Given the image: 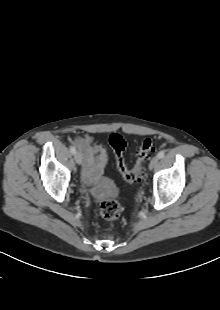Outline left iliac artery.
Returning <instances> with one entry per match:
<instances>
[{
  "label": "left iliac artery",
  "instance_id": "left-iliac-artery-1",
  "mask_svg": "<svg viewBox=\"0 0 220 310\" xmlns=\"http://www.w3.org/2000/svg\"><path fill=\"white\" fill-rule=\"evenodd\" d=\"M158 158L161 159L165 156V151H160L158 154H157Z\"/></svg>",
  "mask_w": 220,
  "mask_h": 310
}]
</instances>
